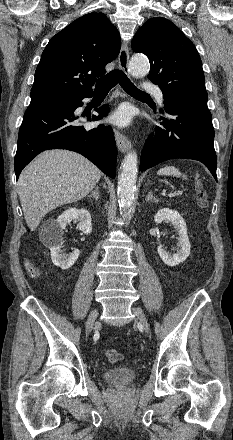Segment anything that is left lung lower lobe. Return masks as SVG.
<instances>
[{"mask_svg":"<svg viewBox=\"0 0 233 440\" xmlns=\"http://www.w3.org/2000/svg\"><path fill=\"white\" fill-rule=\"evenodd\" d=\"M164 111L168 116L157 114L160 126H156L143 148L140 170L169 159H194L206 165L217 180L214 129L207 101L164 99Z\"/></svg>","mask_w":233,"mask_h":440,"instance_id":"0a47b994","label":"left lung lower lobe"}]
</instances>
